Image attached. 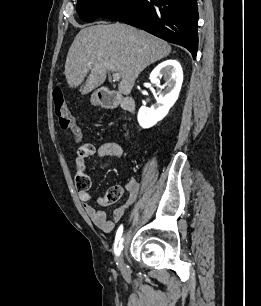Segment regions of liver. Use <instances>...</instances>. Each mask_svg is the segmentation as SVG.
<instances>
[{
    "label": "liver",
    "mask_w": 261,
    "mask_h": 306,
    "mask_svg": "<svg viewBox=\"0 0 261 306\" xmlns=\"http://www.w3.org/2000/svg\"><path fill=\"white\" fill-rule=\"evenodd\" d=\"M170 52L167 42L129 25L90 26L76 35L67 54L64 74L69 87L76 88L90 72L82 90L85 95L104 83L107 71L119 73L118 90L129 95L138 75Z\"/></svg>",
    "instance_id": "1"
}]
</instances>
